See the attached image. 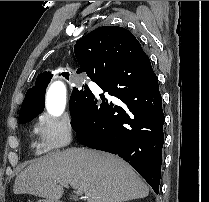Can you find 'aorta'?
<instances>
[{"label":"aorta","mask_w":209,"mask_h":202,"mask_svg":"<svg viewBox=\"0 0 209 202\" xmlns=\"http://www.w3.org/2000/svg\"><path fill=\"white\" fill-rule=\"evenodd\" d=\"M65 86L62 82H54L48 89L46 97L47 111L53 116H60L65 108Z\"/></svg>","instance_id":"obj_1"}]
</instances>
